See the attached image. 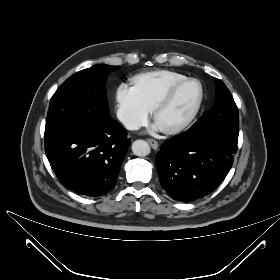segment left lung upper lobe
<instances>
[{
  "mask_svg": "<svg viewBox=\"0 0 280 280\" xmlns=\"http://www.w3.org/2000/svg\"><path fill=\"white\" fill-rule=\"evenodd\" d=\"M216 84V101L213 109L205 113L189 130H207L218 133L237 143L239 135V112L235 101L219 79Z\"/></svg>",
  "mask_w": 280,
  "mask_h": 280,
  "instance_id": "left-lung-upper-lobe-1",
  "label": "left lung upper lobe"
}]
</instances>
